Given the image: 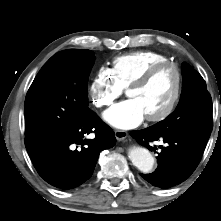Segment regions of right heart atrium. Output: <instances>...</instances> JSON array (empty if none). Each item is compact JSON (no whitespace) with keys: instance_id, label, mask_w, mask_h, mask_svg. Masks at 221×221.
<instances>
[{"instance_id":"d8ad5b80","label":"right heart atrium","mask_w":221,"mask_h":221,"mask_svg":"<svg viewBox=\"0 0 221 221\" xmlns=\"http://www.w3.org/2000/svg\"><path fill=\"white\" fill-rule=\"evenodd\" d=\"M123 88L116 82L107 68L101 67L89 86L92 104L97 108L111 106L120 97Z\"/></svg>"}]
</instances>
